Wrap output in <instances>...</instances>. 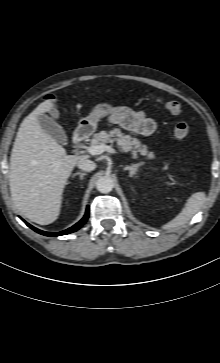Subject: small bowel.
Instances as JSON below:
<instances>
[{
  "mask_svg": "<svg viewBox=\"0 0 220 363\" xmlns=\"http://www.w3.org/2000/svg\"><path fill=\"white\" fill-rule=\"evenodd\" d=\"M108 119L121 125L134 136H150L157 128L156 122L141 110L121 109L112 112Z\"/></svg>",
  "mask_w": 220,
  "mask_h": 363,
  "instance_id": "c3829d8e",
  "label": "small bowel"
}]
</instances>
